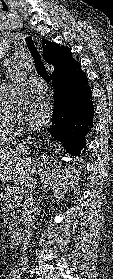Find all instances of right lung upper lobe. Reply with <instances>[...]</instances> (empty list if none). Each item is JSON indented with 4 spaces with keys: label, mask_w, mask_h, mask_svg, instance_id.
<instances>
[{
    "label": "right lung upper lobe",
    "mask_w": 113,
    "mask_h": 279,
    "mask_svg": "<svg viewBox=\"0 0 113 279\" xmlns=\"http://www.w3.org/2000/svg\"><path fill=\"white\" fill-rule=\"evenodd\" d=\"M43 55L46 62L54 65V72L51 77L66 74L75 69L79 63L71 56V49L58 46L56 43H50L43 39Z\"/></svg>",
    "instance_id": "1"
}]
</instances>
